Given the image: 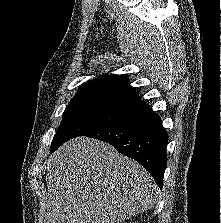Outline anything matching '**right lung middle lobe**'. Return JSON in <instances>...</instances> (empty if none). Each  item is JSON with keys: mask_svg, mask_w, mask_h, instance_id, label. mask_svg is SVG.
<instances>
[{"mask_svg": "<svg viewBox=\"0 0 221 223\" xmlns=\"http://www.w3.org/2000/svg\"><path fill=\"white\" fill-rule=\"evenodd\" d=\"M136 107L128 104L97 100H73L63 113L62 122L53 138L51 153L71 138L110 124Z\"/></svg>", "mask_w": 221, "mask_h": 223, "instance_id": "obj_1", "label": "right lung middle lobe"}]
</instances>
